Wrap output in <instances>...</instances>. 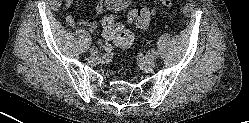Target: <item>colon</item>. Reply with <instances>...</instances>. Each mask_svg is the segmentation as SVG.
Returning a JSON list of instances; mask_svg holds the SVG:
<instances>
[{
    "mask_svg": "<svg viewBox=\"0 0 249 123\" xmlns=\"http://www.w3.org/2000/svg\"><path fill=\"white\" fill-rule=\"evenodd\" d=\"M175 0H160L165 7L170 6ZM156 15V11L146 7H137L128 14V21L140 29H146L151 20ZM103 33L117 47L126 49L133 43V35L123 28L112 16H105L102 21Z\"/></svg>",
    "mask_w": 249,
    "mask_h": 123,
    "instance_id": "1",
    "label": "colon"
}]
</instances>
